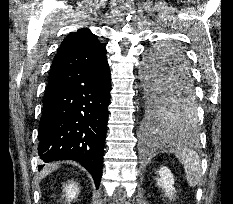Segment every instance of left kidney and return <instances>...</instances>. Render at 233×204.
Masks as SVG:
<instances>
[{
	"label": "left kidney",
	"instance_id": "obj_1",
	"mask_svg": "<svg viewBox=\"0 0 233 204\" xmlns=\"http://www.w3.org/2000/svg\"><path fill=\"white\" fill-rule=\"evenodd\" d=\"M158 174L160 177L156 178L157 185L164 190L169 199H172L175 193L173 174L165 166L159 169Z\"/></svg>",
	"mask_w": 233,
	"mask_h": 204
}]
</instances>
